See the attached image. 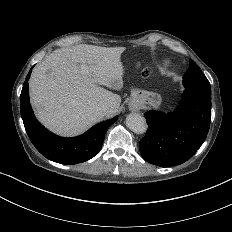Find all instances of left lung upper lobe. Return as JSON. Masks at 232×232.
Returning <instances> with one entry per match:
<instances>
[{
    "mask_svg": "<svg viewBox=\"0 0 232 232\" xmlns=\"http://www.w3.org/2000/svg\"><path fill=\"white\" fill-rule=\"evenodd\" d=\"M183 83L186 90L195 92L206 99L211 100L210 83L199 66L193 60H190L189 69L183 76Z\"/></svg>",
    "mask_w": 232,
    "mask_h": 232,
    "instance_id": "1",
    "label": "left lung upper lobe"
}]
</instances>
